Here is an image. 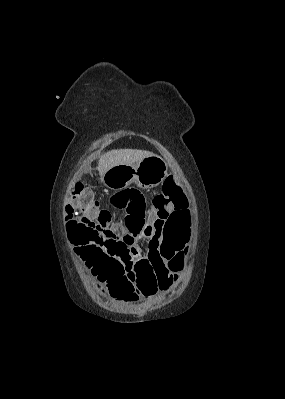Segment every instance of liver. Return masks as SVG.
Here are the masks:
<instances>
[{
	"label": "liver",
	"instance_id": "obj_1",
	"mask_svg": "<svg viewBox=\"0 0 285 399\" xmlns=\"http://www.w3.org/2000/svg\"><path fill=\"white\" fill-rule=\"evenodd\" d=\"M151 155L149 151L135 150V149H117L111 150L103 154L99 161L97 170L102 176L108 169L124 164L133 165L140 162L145 157Z\"/></svg>",
	"mask_w": 285,
	"mask_h": 399
}]
</instances>
